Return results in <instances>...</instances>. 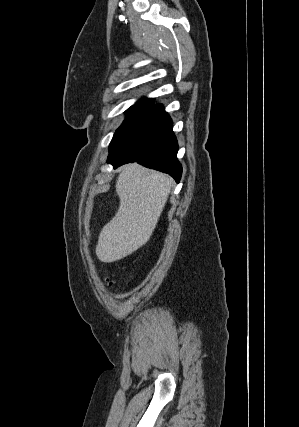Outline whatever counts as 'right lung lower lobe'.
<instances>
[{"label": "right lung lower lobe", "instance_id": "right-lung-lower-lobe-1", "mask_svg": "<svg viewBox=\"0 0 299 427\" xmlns=\"http://www.w3.org/2000/svg\"><path fill=\"white\" fill-rule=\"evenodd\" d=\"M172 127V120L163 106L154 105L135 128L109 150L107 162L115 168L138 162L168 173L179 182L182 166L177 159L178 143Z\"/></svg>", "mask_w": 299, "mask_h": 427}]
</instances>
